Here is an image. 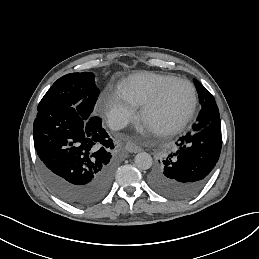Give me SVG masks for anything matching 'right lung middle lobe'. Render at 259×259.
<instances>
[{
	"mask_svg": "<svg viewBox=\"0 0 259 259\" xmlns=\"http://www.w3.org/2000/svg\"><path fill=\"white\" fill-rule=\"evenodd\" d=\"M94 77L91 72L64 75L47 91L37 110L73 107L86 118L93 116L99 94Z\"/></svg>",
	"mask_w": 259,
	"mask_h": 259,
	"instance_id": "right-lung-middle-lobe-1",
	"label": "right lung middle lobe"
}]
</instances>
